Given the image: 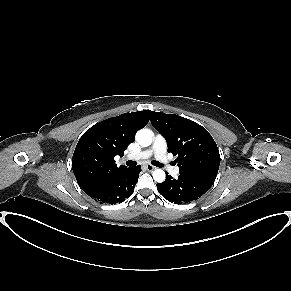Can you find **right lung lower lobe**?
Wrapping results in <instances>:
<instances>
[{
	"instance_id": "98d812e1",
	"label": "right lung lower lobe",
	"mask_w": 291,
	"mask_h": 291,
	"mask_svg": "<svg viewBox=\"0 0 291 291\" xmlns=\"http://www.w3.org/2000/svg\"><path fill=\"white\" fill-rule=\"evenodd\" d=\"M140 171V165L127 168L88 195L102 204L120 203L133 193Z\"/></svg>"
}]
</instances>
